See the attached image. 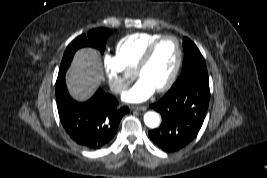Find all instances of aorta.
I'll return each mask as SVG.
<instances>
[{
	"label": "aorta",
	"mask_w": 267,
	"mask_h": 178,
	"mask_svg": "<svg viewBox=\"0 0 267 178\" xmlns=\"http://www.w3.org/2000/svg\"><path fill=\"white\" fill-rule=\"evenodd\" d=\"M144 122L149 128H156L160 123V117L156 112L149 111L144 114Z\"/></svg>",
	"instance_id": "762f6f07"
}]
</instances>
